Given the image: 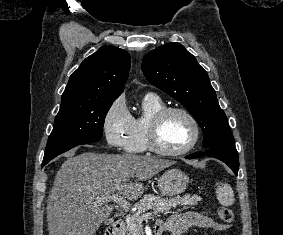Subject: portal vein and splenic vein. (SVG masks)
<instances>
[{"label": "portal vein and splenic vein", "instance_id": "portal-vein-and-splenic-vein-1", "mask_svg": "<svg viewBox=\"0 0 283 235\" xmlns=\"http://www.w3.org/2000/svg\"><path fill=\"white\" fill-rule=\"evenodd\" d=\"M110 201H114L125 212H128L131 208L129 202L126 201L124 198H122L119 194H115L113 196L98 200L99 203L110 202ZM151 216H152V212H148L141 216L140 221L142 222L143 220H146Z\"/></svg>", "mask_w": 283, "mask_h": 235}]
</instances>
